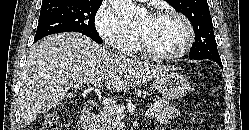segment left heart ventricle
<instances>
[{"mask_svg": "<svg viewBox=\"0 0 249 130\" xmlns=\"http://www.w3.org/2000/svg\"><path fill=\"white\" fill-rule=\"evenodd\" d=\"M136 30L153 52L161 54L177 50L186 38L183 23L170 16L147 15L137 25Z\"/></svg>", "mask_w": 249, "mask_h": 130, "instance_id": "obj_1", "label": "left heart ventricle"}]
</instances>
